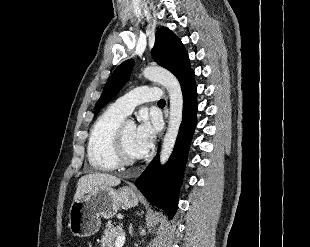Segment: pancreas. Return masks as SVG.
Returning <instances> with one entry per match:
<instances>
[{"label": "pancreas", "mask_w": 310, "mask_h": 247, "mask_svg": "<svg viewBox=\"0 0 310 247\" xmlns=\"http://www.w3.org/2000/svg\"><path fill=\"white\" fill-rule=\"evenodd\" d=\"M122 233V225L114 226L111 222L106 224V229L104 231V235L101 238V247H114L115 241L118 236Z\"/></svg>", "instance_id": "obj_1"}]
</instances>
